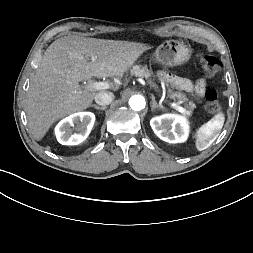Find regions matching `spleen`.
I'll return each mask as SVG.
<instances>
[{"instance_id":"spleen-1","label":"spleen","mask_w":253,"mask_h":253,"mask_svg":"<svg viewBox=\"0 0 253 253\" xmlns=\"http://www.w3.org/2000/svg\"><path fill=\"white\" fill-rule=\"evenodd\" d=\"M224 121V115L219 113L197 130L195 146L198 151H203L212 144L219 135Z\"/></svg>"}]
</instances>
